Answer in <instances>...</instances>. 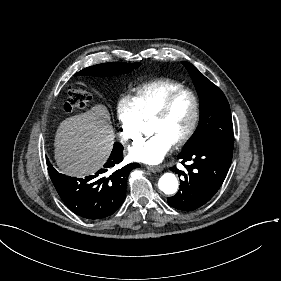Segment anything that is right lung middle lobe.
<instances>
[{
	"mask_svg": "<svg viewBox=\"0 0 281 281\" xmlns=\"http://www.w3.org/2000/svg\"><path fill=\"white\" fill-rule=\"evenodd\" d=\"M141 63H121V62H111L94 65L88 68H85L75 76L81 75H91V76H113L119 75L122 73L131 72L133 69L139 67Z\"/></svg>",
	"mask_w": 281,
	"mask_h": 281,
	"instance_id": "obj_1",
	"label": "right lung middle lobe"
}]
</instances>
